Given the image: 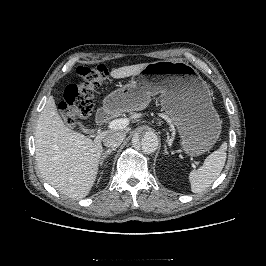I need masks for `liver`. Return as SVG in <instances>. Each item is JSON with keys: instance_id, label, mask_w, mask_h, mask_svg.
<instances>
[{"instance_id": "liver-1", "label": "liver", "mask_w": 266, "mask_h": 266, "mask_svg": "<svg viewBox=\"0 0 266 266\" xmlns=\"http://www.w3.org/2000/svg\"><path fill=\"white\" fill-rule=\"evenodd\" d=\"M148 63L113 69L110 75L125 78L139 73ZM116 131H130V128ZM105 131L94 140L66 127L57 112L53 96L38 118L35 130V156L42 177L61 194L73 198L86 197L94 185L103 151Z\"/></svg>"}]
</instances>
